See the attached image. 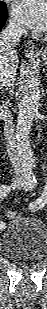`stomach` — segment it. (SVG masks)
Listing matches in <instances>:
<instances>
[{"mask_svg": "<svg viewBox=\"0 0 47 309\" xmlns=\"http://www.w3.org/2000/svg\"><path fill=\"white\" fill-rule=\"evenodd\" d=\"M44 60H47V54L45 53Z\"/></svg>", "mask_w": 47, "mask_h": 309, "instance_id": "obj_1", "label": "stomach"}]
</instances>
